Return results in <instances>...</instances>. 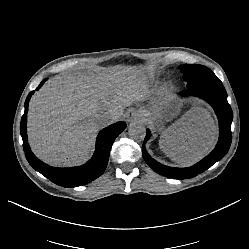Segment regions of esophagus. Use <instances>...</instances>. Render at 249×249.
<instances>
[{"mask_svg": "<svg viewBox=\"0 0 249 249\" xmlns=\"http://www.w3.org/2000/svg\"><path fill=\"white\" fill-rule=\"evenodd\" d=\"M124 117L126 118V122L128 124L134 123L140 118L138 111H136L134 108H129L125 112Z\"/></svg>", "mask_w": 249, "mask_h": 249, "instance_id": "1", "label": "esophagus"}]
</instances>
